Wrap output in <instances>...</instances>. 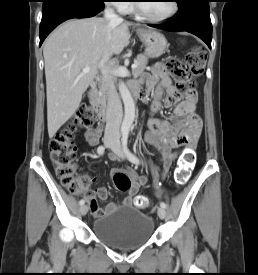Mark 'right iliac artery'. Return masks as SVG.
<instances>
[{
  "label": "right iliac artery",
  "mask_w": 258,
  "mask_h": 275,
  "mask_svg": "<svg viewBox=\"0 0 258 275\" xmlns=\"http://www.w3.org/2000/svg\"><path fill=\"white\" fill-rule=\"evenodd\" d=\"M104 151H105V148L102 145L97 148V153L99 155H103ZM84 203H85V201L83 199L80 200V202H79L80 205H83Z\"/></svg>",
  "instance_id": "obj_1"
}]
</instances>
